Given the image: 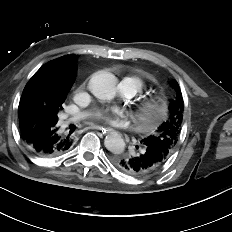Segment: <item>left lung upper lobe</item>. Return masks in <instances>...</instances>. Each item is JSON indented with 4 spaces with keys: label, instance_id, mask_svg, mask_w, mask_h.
<instances>
[{
    "label": "left lung upper lobe",
    "instance_id": "obj_1",
    "mask_svg": "<svg viewBox=\"0 0 232 232\" xmlns=\"http://www.w3.org/2000/svg\"><path fill=\"white\" fill-rule=\"evenodd\" d=\"M175 91L169 100L168 119L163 122L156 132L140 141V145L150 146L161 150L167 157L172 153L181 131L184 113V101L178 83H171Z\"/></svg>",
    "mask_w": 232,
    "mask_h": 232
}]
</instances>
